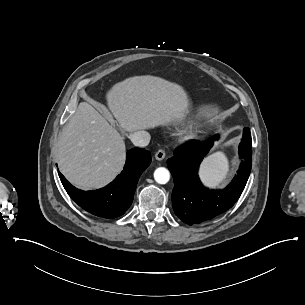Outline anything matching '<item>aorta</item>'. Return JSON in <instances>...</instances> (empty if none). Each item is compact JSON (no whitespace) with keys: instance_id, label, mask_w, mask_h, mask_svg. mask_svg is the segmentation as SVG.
<instances>
[{"instance_id":"762f6f07","label":"aorta","mask_w":305,"mask_h":305,"mask_svg":"<svg viewBox=\"0 0 305 305\" xmlns=\"http://www.w3.org/2000/svg\"><path fill=\"white\" fill-rule=\"evenodd\" d=\"M154 179L159 184H166L170 179V173L166 168L159 167L154 172Z\"/></svg>"}]
</instances>
